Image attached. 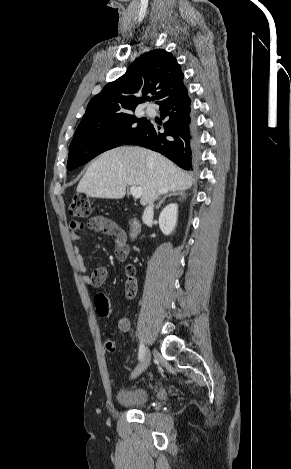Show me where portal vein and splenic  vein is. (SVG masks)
Returning a JSON list of instances; mask_svg holds the SVG:
<instances>
[{"mask_svg": "<svg viewBox=\"0 0 291 469\" xmlns=\"http://www.w3.org/2000/svg\"><path fill=\"white\" fill-rule=\"evenodd\" d=\"M130 192L135 199H138L141 197L143 189L141 187L131 186Z\"/></svg>", "mask_w": 291, "mask_h": 469, "instance_id": "1", "label": "portal vein and splenic vein"}]
</instances>
